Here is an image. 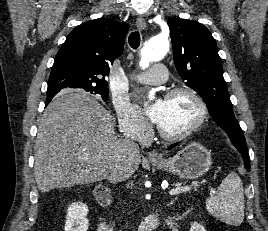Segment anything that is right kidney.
Wrapping results in <instances>:
<instances>
[{
	"mask_svg": "<svg viewBox=\"0 0 268 231\" xmlns=\"http://www.w3.org/2000/svg\"><path fill=\"white\" fill-rule=\"evenodd\" d=\"M88 207L83 203H73L67 211L65 231H87L89 221L86 218Z\"/></svg>",
	"mask_w": 268,
	"mask_h": 231,
	"instance_id": "ca27d5eb",
	"label": "right kidney"
}]
</instances>
